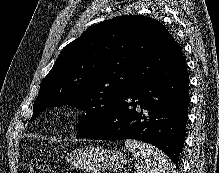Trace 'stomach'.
<instances>
[{"instance_id":"0dacf381","label":"stomach","mask_w":219,"mask_h":173,"mask_svg":"<svg viewBox=\"0 0 219 173\" xmlns=\"http://www.w3.org/2000/svg\"><path fill=\"white\" fill-rule=\"evenodd\" d=\"M66 160L73 168L86 173L118 170L126 164L122 152L93 146L72 150L67 154Z\"/></svg>"}]
</instances>
